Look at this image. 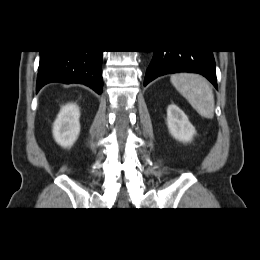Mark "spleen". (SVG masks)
Wrapping results in <instances>:
<instances>
[{"label":"spleen","mask_w":260,"mask_h":260,"mask_svg":"<svg viewBox=\"0 0 260 260\" xmlns=\"http://www.w3.org/2000/svg\"><path fill=\"white\" fill-rule=\"evenodd\" d=\"M170 80L199 115L207 119L214 117V95L205 78L196 74L180 73L172 75Z\"/></svg>","instance_id":"3e777b00"}]
</instances>
